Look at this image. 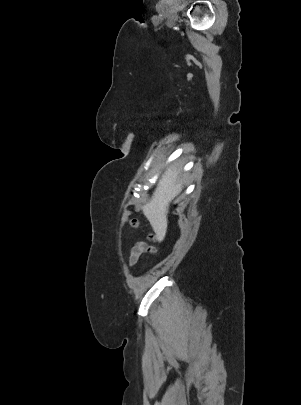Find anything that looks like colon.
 <instances>
[{
  "mask_svg": "<svg viewBox=\"0 0 301 405\" xmlns=\"http://www.w3.org/2000/svg\"><path fill=\"white\" fill-rule=\"evenodd\" d=\"M138 224H139V220H138L137 218H131V219L129 220V225H130L131 227H137ZM151 238L153 239L154 236L151 235ZM148 250H149L150 252H153V251H154V248H153V247H150Z\"/></svg>",
  "mask_w": 301,
  "mask_h": 405,
  "instance_id": "colon-1",
  "label": "colon"
}]
</instances>
